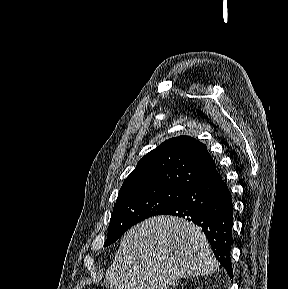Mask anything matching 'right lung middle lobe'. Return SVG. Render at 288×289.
I'll list each match as a JSON object with an SVG mask.
<instances>
[{"label": "right lung middle lobe", "mask_w": 288, "mask_h": 289, "mask_svg": "<svg viewBox=\"0 0 288 289\" xmlns=\"http://www.w3.org/2000/svg\"><path fill=\"white\" fill-rule=\"evenodd\" d=\"M185 191L173 187H155L119 193L104 245L114 243L134 224L148 217L161 215L178 202Z\"/></svg>", "instance_id": "obj_1"}]
</instances>
